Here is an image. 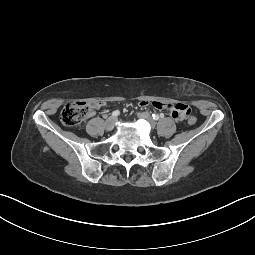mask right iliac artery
I'll list each match as a JSON object with an SVG mask.
<instances>
[{
    "label": "right iliac artery",
    "mask_w": 255,
    "mask_h": 255,
    "mask_svg": "<svg viewBox=\"0 0 255 255\" xmlns=\"http://www.w3.org/2000/svg\"><path fill=\"white\" fill-rule=\"evenodd\" d=\"M120 114L119 110H115L112 112V117H117Z\"/></svg>",
    "instance_id": "right-iliac-artery-1"
}]
</instances>
